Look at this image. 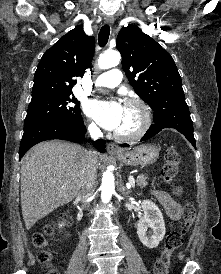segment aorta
Here are the masks:
<instances>
[{
  "label": "aorta",
  "instance_id": "1",
  "mask_svg": "<svg viewBox=\"0 0 221 274\" xmlns=\"http://www.w3.org/2000/svg\"><path fill=\"white\" fill-rule=\"evenodd\" d=\"M121 55L117 51L107 52L101 55L98 59V66L101 69H109L115 67L119 64ZM101 200L104 203L110 201L112 194L115 190V179L112 172L107 170L102 176L101 182Z\"/></svg>",
  "mask_w": 221,
  "mask_h": 274
}]
</instances>
